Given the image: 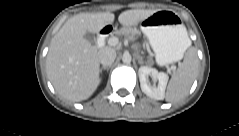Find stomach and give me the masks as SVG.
I'll use <instances>...</instances> for the list:
<instances>
[{
  "mask_svg": "<svg viewBox=\"0 0 239 136\" xmlns=\"http://www.w3.org/2000/svg\"><path fill=\"white\" fill-rule=\"evenodd\" d=\"M159 65H168L182 59L189 47L188 34L177 14L160 10L140 22Z\"/></svg>",
  "mask_w": 239,
  "mask_h": 136,
  "instance_id": "obj_1",
  "label": "stomach"
}]
</instances>
